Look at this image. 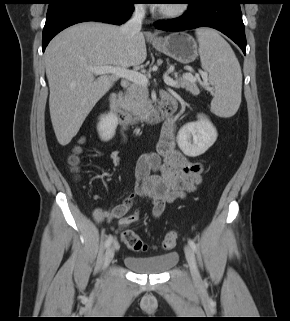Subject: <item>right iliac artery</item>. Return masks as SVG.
Returning a JSON list of instances; mask_svg holds the SVG:
<instances>
[{
	"label": "right iliac artery",
	"instance_id": "82829eb1",
	"mask_svg": "<svg viewBox=\"0 0 290 321\" xmlns=\"http://www.w3.org/2000/svg\"><path fill=\"white\" fill-rule=\"evenodd\" d=\"M113 237L109 236V238L105 242V248H108L110 244L112 243Z\"/></svg>",
	"mask_w": 290,
	"mask_h": 321
}]
</instances>
